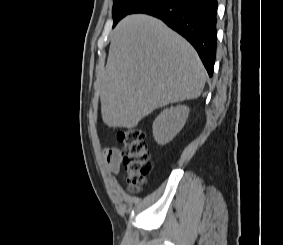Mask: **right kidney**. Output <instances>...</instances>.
<instances>
[{"label": "right kidney", "instance_id": "1", "mask_svg": "<svg viewBox=\"0 0 283 245\" xmlns=\"http://www.w3.org/2000/svg\"><path fill=\"white\" fill-rule=\"evenodd\" d=\"M189 111V108L184 105L163 110L153 123L155 141L162 145L170 142L184 126Z\"/></svg>", "mask_w": 283, "mask_h": 245}]
</instances>
